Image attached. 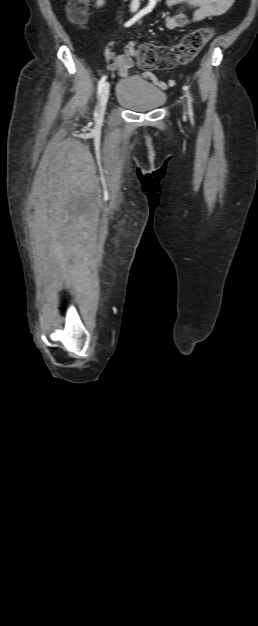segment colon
I'll list each match as a JSON object with an SVG mask.
<instances>
[{"instance_id": "1", "label": "colon", "mask_w": 258, "mask_h": 626, "mask_svg": "<svg viewBox=\"0 0 258 626\" xmlns=\"http://www.w3.org/2000/svg\"><path fill=\"white\" fill-rule=\"evenodd\" d=\"M68 15L73 23L83 25L86 21L85 0H71L68 5ZM212 35L211 29L200 28L186 35L179 44L173 47L144 44L136 48L134 42H129L126 49L137 58L141 68L169 69L176 63H184L195 57Z\"/></svg>"}]
</instances>
